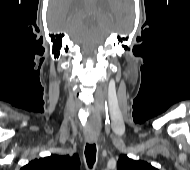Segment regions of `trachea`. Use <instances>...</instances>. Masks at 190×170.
<instances>
[{
    "instance_id": "3493384b",
    "label": "trachea",
    "mask_w": 190,
    "mask_h": 170,
    "mask_svg": "<svg viewBox=\"0 0 190 170\" xmlns=\"http://www.w3.org/2000/svg\"><path fill=\"white\" fill-rule=\"evenodd\" d=\"M85 157L89 168H92L96 161V145L86 144Z\"/></svg>"
}]
</instances>
